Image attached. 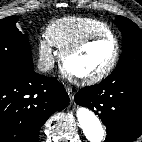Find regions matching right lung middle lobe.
Returning a JSON list of instances; mask_svg holds the SVG:
<instances>
[{
  "label": "right lung middle lobe",
  "mask_w": 142,
  "mask_h": 142,
  "mask_svg": "<svg viewBox=\"0 0 142 142\" xmlns=\"http://www.w3.org/2000/svg\"><path fill=\"white\" fill-rule=\"evenodd\" d=\"M17 20V16L0 20V73L33 70L29 40L15 26Z\"/></svg>",
  "instance_id": "dd1d6c3e"
}]
</instances>
